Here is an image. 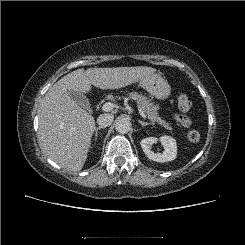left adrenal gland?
<instances>
[{
	"mask_svg": "<svg viewBox=\"0 0 245 245\" xmlns=\"http://www.w3.org/2000/svg\"><path fill=\"white\" fill-rule=\"evenodd\" d=\"M138 122L141 124L142 127H143V126H147V125H151V123L143 122V121H141V120H139Z\"/></svg>",
	"mask_w": 245,
	"mask_h": 245,
	"instance_id": "left-adrenal-gland-1",
	"label": "left adrenal gland"
}]
</instances>
